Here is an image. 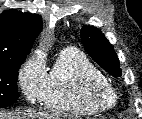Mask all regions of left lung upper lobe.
Listing matches in <instances>:
<instances>
[{
	"label": "left lung upper lobe",
	"instance_id": "left-lung-upper-lobe-1",
	"mask_svg": "<svg viewBox=\"0 0 142 119\" xmlns=\"http://www.w3.org/2000/svg\"><path fill=\"white\" fill-rule=\"evenodd\" d=\"M81 39L84 48L95 62L111 75L121 76L122 71L118 57L112 45L100 30L93 26H83Z\"/></svg>",
	"mask_w": 142,
	"mask_h": 119
}]
</instances>
